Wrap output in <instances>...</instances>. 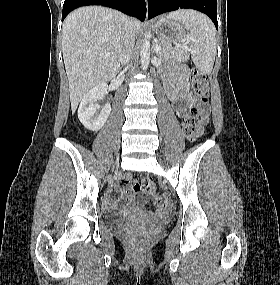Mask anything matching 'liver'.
Here are the masks:
<instances>
[{
	"instance_id": "1",
	"label": "liver",
	"mask_w": 280,
	"mask_h": 285,
	"mask_svg": "<svg viewBox=\"0 0 280 285\" xmlns=\"http://www.w3.org/2000/svg\"><path fill=\"white\" fill-rule=\"evenodd\" d=\"M127 20L121 12L98 6L78 8L64 20L62 52L72 113L91 88L119 72ZM130 21L135 33L139 32L140 22Z\"/></svg>"
}]
</instances>
